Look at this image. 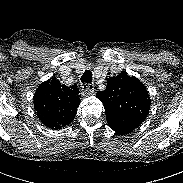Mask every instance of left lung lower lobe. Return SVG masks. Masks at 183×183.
I'll return each instance as SVG.
<instances>
[{
    "label": "left lung lower lobe",
    "instance_id": "left-lung-lower-lobe-1",
    "mask_svg": "<svg viewBox=\"0 0 183 183\" xmlns=\"http://www.w3.org/2000/svg\"><path fill=\"white\" fill-rule=\"evenodd\" d=\"M115 132L120 133V134H126L131 132L134 129H128V128H121L119 126H110Z\"/></svg>",
    "mask_w": 183,
    "mask_h": 183
}]
</instances>
